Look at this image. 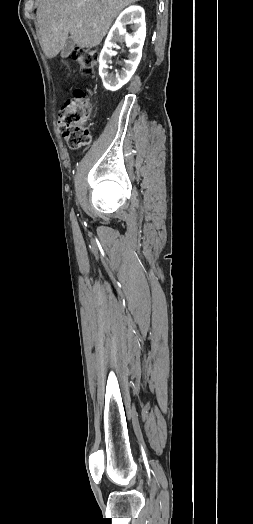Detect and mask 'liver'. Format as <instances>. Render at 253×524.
Wrapping results in <instances>:
<instances>
[{"label":"liver","instance_id":"obj_1","mask_svg":"<svg viewBox=\"0 0 253 524\" xmlns=\"http://www.w3.org/2000/svg\"><path fill=\"white\" fill-rule=\"evenodd\" d=\"M140 0H39L37 27L43 52L54 58L70 34L81 48L99 45L113 20Z\"/></svg>","mask_w":253,"mask_h":524}]
</instances>
